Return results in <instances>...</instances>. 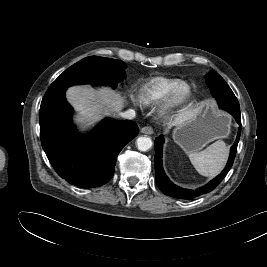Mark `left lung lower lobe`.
Masks as SVG:
<instances>
[{
	"label": "left lung lower lobe",
	"mask_w": 267,
	"mask_h": 267,
	"mask_svg": "<svg viewBox=\"0 0 267 267\" xmlns=\"http://www.w3.org/2000/svg\"><path fill=\"white\" fill-rule=\"evenodd\" d=\"M218 104L221 109L228 111L231 115H233L237 123L239 124V132H238L234 145L231 147L230 157H229V160H228V163L225 169L222 171L220 175H218L216 178L210 181L207 185L195 191L182 189L174 185L168 179L162 167V145H163L164 140H163V136L160 135L158 138L155 139V144H154L155 146L154 164H155V172H156L155 182H156V185L160 188V190L164 194L175 197V198H180V199H187V200L194 199L195 197L203 193H208L212 191L221 182L224 175L228 172V170L232 166V163L234 161V157L236 154L240 134H241L240 106L235 95L231 96L230 98H227L226 100L221 99L220 101H218Z\"/></svg>",
	"instance_id": "obj_1"
}]
</instances>
